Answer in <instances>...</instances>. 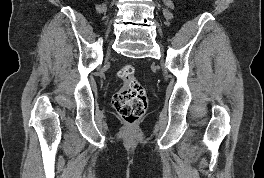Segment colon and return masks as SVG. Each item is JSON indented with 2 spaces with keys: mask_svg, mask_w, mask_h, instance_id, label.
Listing matches in <instances>:
<instances>
[{
  "mask_svg": "<svg viewBox=\"0 0 264 178\" xmlns=\"http://www.w3.org/2000/svg\"><path fill=\"white\" fill-rule=\"evenodd\" d=\"M117 74L123 85L113 96V106L125 122L134 124L147 108L145 90L136 77L134 66L124 65Z\"/></svg>",
  "mask_w": 264,
  "mask_h": 178,
  "instance_id": "5ec220e1",
  "label": "colon"
}]
</instances>
